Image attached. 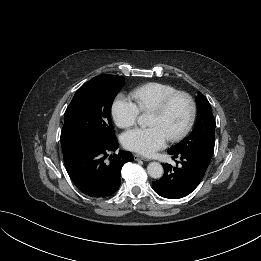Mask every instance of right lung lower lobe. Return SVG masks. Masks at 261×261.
<instances>
[{"instance_id": "right-lung-lower-lobe-1", "label": "right lung lower lobe", "mask_w": 261, "mask_h": 261, "mask_svg": "<svg viewBox=\"0 0 261 261\" xmlns=\"http://www.w3.org/2000/svg\"><path fill=\"white\" fill-rule=\"evenodd\" d=\"M116 137L102 142H84L63 150L66 170L84 194L90 197H106L120 186L122 166L133 161L129 151L119 150Z\"/></svg>"}]
</instances>
